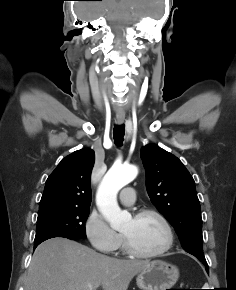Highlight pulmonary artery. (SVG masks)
<instances>
[{"instance_id": "pulmonary-artery-1", "label": "pulmonary artery", "mask_w": 236, "mask_h": 290, "mask_svg": "<svg viewBox=\"0 0 236 290\" xmlns=\"http://www.w3.org/2000/svg\"><path fill=\"white\" fill-rule=\"evenodd\" d=\"M136 193L132 187H126L120 194V200L125 205H132L135 202Z\"/></svg>"}]
</instances>
